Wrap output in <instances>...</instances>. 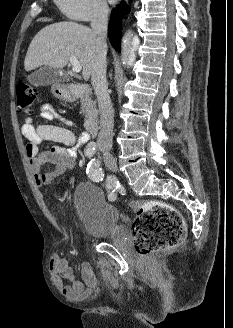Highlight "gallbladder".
Returning a JSON list of instances; mask_svg holds the SVG:
<instances>
[{"instance_id":"1","label":"gallbladder","mask_w":233,"mask_h":328,"mask_svg":"<svg viewBox=\"0 0 233 328\" xmlns=\"http://www.w3.org/2000/svg\"><path fill=\"white\" fill-rule=\"evenodd\" d=\"M28 81L33 86H47L58 81L59 76L57 71L50 67L44 66L28 76Z\"/></svg>"}]
</instances>
